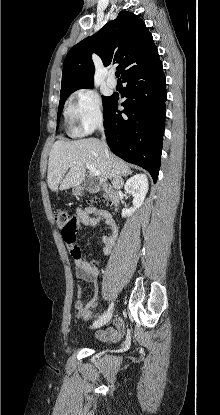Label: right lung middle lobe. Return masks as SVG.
Returning a JSON list of instances; mask_svg holds the SVG:
<instances>
[{
    "label": "right lung middle lobe",
    "instance_id": "right-lung-middle-lobe-1",
    "mask_svg": "<svg viewBox=\"0 0 220 415\" xmlns=\"http://www.w3.org/2000/svg\"><path fill=\"white\" fill-rule=\"evenodd\" d=\"M81 88H93V85L76 87V88H73V89H71L69 91H66V92L60 94L59 110H58V117H57V127L59 126L58 125V122H59L60 114L62 112V109H63L64 103H65V100L67 99V97L71 93H73L74 91H76L78 89H81ZM109 101H110V97H103V110L104 111L106 110Z\"/></svg>",
    "mask_w": 220,
    "mask_h": 415
}]
</instances>
